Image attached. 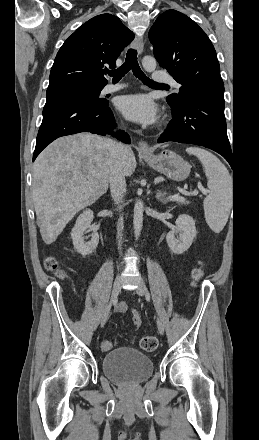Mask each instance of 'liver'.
Listing matches in <instances>:
<instances>
[{"label":"liver","mask_w":259,"mask_h":440,"mask_svg":"<svg viewBox=\"0 0 259 440\" xmlns=\"http://www.w3.org/2000/svg\"><path fill=\"white\" fill-rule=\"evenodd\" d=\"M112 144L98 135L78 133L56 139L35 160L32 199L47 245L56 241L76 213L106 193L114 160ZM123 162L124 175L129 177L137 165L129 146Z\"/></svg>","instance_id":"6515ba94"}]
</instances>
